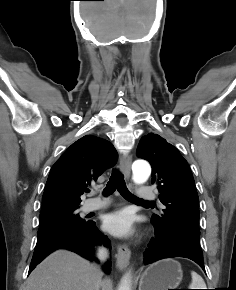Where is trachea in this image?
I'll use <instances>...</instances> for the list:
<instances>
[{
	"instance_id": "3493384b",
	"label": "trachea",
	"mask_w": 236,
	"mask_h": 290,
	"mask_svg": "<svg viewBox=\"0 0 236 290\" xmlns=\"http://www.w3.org/2000/svg\"><path fill=\"white\" fill-rule=\"evenodd\" d=\"M116 190L119 191L122 197H124L127 200H133V201H142V202H148L150 201H143L137 198L135 195H133L126 187L124 177L118 170H113L112 174L110 176V179L103 191V194L105 196L113 194Z\"/></svg>"
}]
</instances>
